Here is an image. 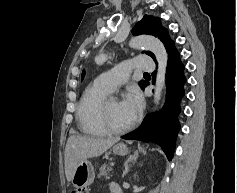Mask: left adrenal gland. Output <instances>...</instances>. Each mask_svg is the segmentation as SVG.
<instances>
[{
	"label": "left adrenal gland",
	"mask_w": 237,
	"mask_h": 193,
	"mask_svg": "<svg viewBox=\"0 0 237 193\" xmlns=\"http://www.w3.org/2000/svg\"><path fill=\"white\" fill-rule=\"evenodd\" d=\"M138 158V152H135L134 155H131L125 162V169L123 171V176H125L129 172V162L135 163Z\"/></svg>",
	"instance_id": "1"
}]
</instances>
